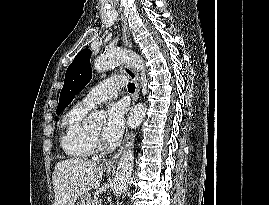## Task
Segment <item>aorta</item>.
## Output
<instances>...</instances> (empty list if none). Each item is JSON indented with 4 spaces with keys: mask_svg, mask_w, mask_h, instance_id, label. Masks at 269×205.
Here are the masks:
<instances>
[{
    "mask_svg": "<svg viewBox=\"0 0 269 205\" xmlns=\"http://www.w3.org/2000/svg\"><path fill=\"white\" fill-rule=\"evenodd\" d=\"M128 63L137 70H143L145 68L143 59L136 53H132L123 49H114L103 53L97 57L94 61V68L98 72H104L112 66ZM147 107L145 104H137L131 111L128 117V125L131 129H135L140 126L146 117ZM101 118L96 113L89 116V122L95 123L100 121ZM132 134L129 137L130 141L127 142L125 149L122 153L120 161L118 163L114 183L113 192L116 196H120L126 190L134 166V153H133V139Z\"/></svg>",
    "mask_w": 269,
    "mask_h": 205,
    "instance_id": "obj_1",
    "label": "aorta"
}]
</instances>
